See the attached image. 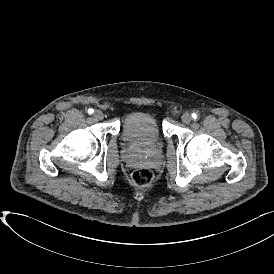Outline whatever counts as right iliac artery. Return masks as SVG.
<instances>
[{
  "mask_svg": "<svg viewBox=\"0 0 274 274\" xmlns=\"http://www.w3.org/2000/svg\"><path fill=\"white\" fill-rule=\"evenodd\" d=\"M94 112V110L92 108L88 109V113L92 114Z\"/></svg>",
  "mask_w": 274,
  "mask_h": 274,
  "instance_id": "right-iliac-artery-1",
  "label": "right iliac artery"
}]
</instances>
